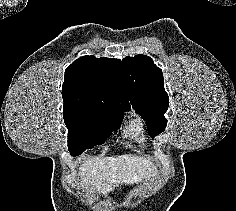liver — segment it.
Returning a JSON list of instances; mask_svg holds the SVG:
<instances>
[{
	"label": "liver",
	"mask_w": 236,
	"mask_h": 211,
	"mask_svg": "<svg viewBox=\"0 0 236 211\" xmlns=\"http://www.w3.org/2000/svg\"><path fill=\"white\" fill-rule=\"evenodd\" d=\"M79 170L83 185L105 197L119 185L142 182L158 174L150 160L132 154L95 158L84 162Z\"/></svg>",
	"instance_id": "obj_1"
}]
</instances>
